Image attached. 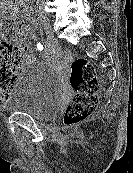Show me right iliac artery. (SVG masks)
<instances>
[{"mask_svg":"<svg viewBox=\"0 0 133 173\" xmlns=\"http://www.w3.org/2000/svg\"><path fill=\"white\" fill-rule=\"evenodd\" d=\"M33 20L35 21V19ZM43 45H45V47H51V43L49 42V37L43 38Z\"/></svg>","mask_w":133,"mask_h":173,"instance_id":"obj_1","label":"right iliac artery"}]
</instances>
